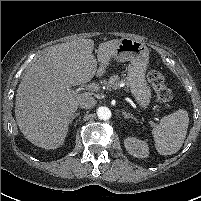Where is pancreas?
I'll list each match as a JSON object with an SVG mask.
<instances>
[{"label": "pancreas", "mask_w": 201, "mask_h": 201, "mask_svg": "<svg viewBox=\"0 0 201 201\" xmlns=\"http://www.w3.org/2000/svg\"><path fill=\"white\" fill-rule=\"evenodd\" d=\"M122 82L123 80H120L118 75H113L109 77L108 81H105L104 84L106 85L107 89H116Z\"/></svg>", "instance_id": "1"}]
</instances>
